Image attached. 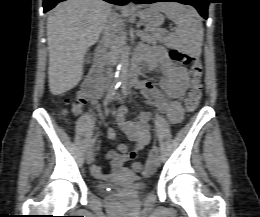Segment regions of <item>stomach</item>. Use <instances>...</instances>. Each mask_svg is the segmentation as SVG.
<instances>
[{"instance_id": "stomach-1", "label": "stomach", "mask_w": 260, "mask_h": 217, "mask_svg": "<svg viewBox=\"0 0 260 217\" xmlns=\"http://www.w3.org/2000/svg\"><path fill=\"white\" fill-rule=\"evenodd\" d=\"M138 16L144 21L147 25L151 27H159L164 22V17L156 9L149 7L143 8L138 11Z\"/></svg>"}]
</instances>
